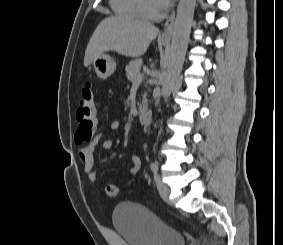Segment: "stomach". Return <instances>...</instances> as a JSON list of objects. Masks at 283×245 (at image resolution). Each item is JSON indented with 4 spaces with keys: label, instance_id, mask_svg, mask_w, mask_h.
<instances>
[{
    "label": "stomach",
    "instance_id": "stomach-1",
    "mask_svg": "<svg viewBox=\"0 0 283 245\" xmlns=\"http://www.w3.org/2000/svg\"><path fill=\"white\" fill-rule=\"evenodd\" d=\"M93 66H94L96 75L100 79L108 78L114 73L116 69L115 61L107 54H102L96 59H94Z\"/></svg>",
    "mask_w": 283,
    "mask_h": 245
}]
</instances>
